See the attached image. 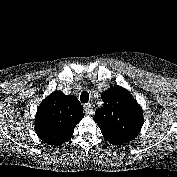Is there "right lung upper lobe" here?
<instances>
[{
    "label": "right lung upper lobe",
    "instance_id": "obj_1",
    "mask_svg": "<svg viewBox=\"0 0 177 177\" xmlns=\"http://www.w3.org/2000/svg\"><path fill=\"white\" fill-rule=\"evenodd\" d=\"M83 117V108L75 96L55 91L38 107L35 131L44 143L56 147L71 139Z\"/></svg>",
    "mask_w": 177,
    "mask_h": 177
}]
</instances>
